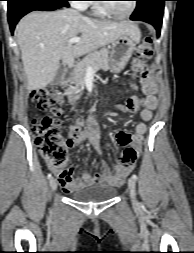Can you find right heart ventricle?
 <instances>
[{
    "label": "right heart ventricle",
    "mask_w": 194,
    "mask_h": 253,
    "mask_svg": "<svg viewBox=\"0 0 194 253\" xmlns=\"http://www.w3.org/2000/svg\"><path fill=\"white\" fill-rule=\"evenodd\" d=\"M92 11H93V14L96 15V16H98V17H105L107 15L104 11H102L99 8V6L97 4H94L92 6Z\"/></svg>",
    "instance_id": "right-heart-ventricle-1"
}]
</instances>
